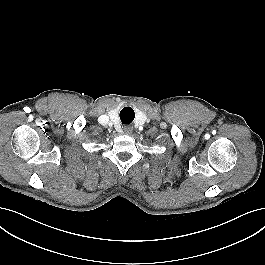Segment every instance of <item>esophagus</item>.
Here are the masks:
<instances>
[{"mask_svg":"<svg viewBox=\"0 0 265 265\" xmlns=\"http://www.w3.org/2000/svg\"><path fill=\"white\" fill-rule=\"evenodd\" d=\"M124 132H125V134L129 135L132 133V128L126 127V128H124Z\"/></svg>","mask_w":265,"mask_h":265,"instance_id":"1","label":"esophagus"}]
</instances>
